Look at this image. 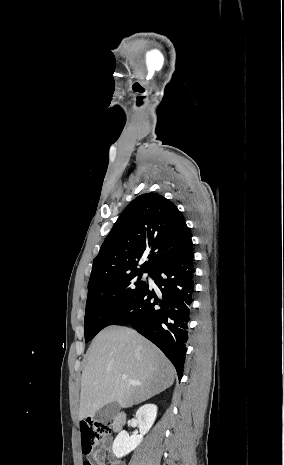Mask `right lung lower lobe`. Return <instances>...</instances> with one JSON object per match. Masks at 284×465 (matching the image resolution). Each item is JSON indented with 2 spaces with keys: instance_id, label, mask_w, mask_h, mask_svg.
<instances>
[{
  "instance_id": "98d812e1",
  "label": "right lung lower lobe",
  "mask_w": 284,
  "mask_h": 465,
  "mask_svg": "<svg viewBox=\"0 0 284 465\" xmlns=\"http://www.w3.org/2000/svg\"><path fill=\"white\" fill-rule=\"evenodd\" d=\"M190 239L175 254L162 261L150 277L160 289L149 284L120 312L110 325L130 324L159 347L177 370L183 374L189 322L194 296V252Z\"/></svg>"
}]
</instances>
